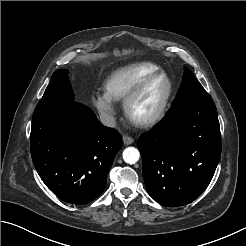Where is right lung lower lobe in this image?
<instances>
[{
	"label": "right lung lower lobe",
	"instance_id": "right-lung-lower-lobe-1",
	"mask_svg": "<svg viewBox=\"0 0 246 246\" xmlns=\"http://www.w3.org/2000/svg\"><path fill=\"white\" fill-rule=\"evenodd\" d=\"M30 142L33 163L46 186L61 200L79 205L103 192L122 147L116 130L74 101L56 113L33 116Z\"/></svg>",
	"mask_w": 246,
	"mask_h": 246
}]
</instances>
